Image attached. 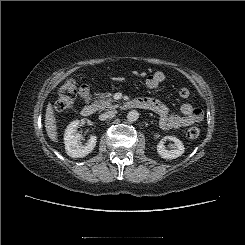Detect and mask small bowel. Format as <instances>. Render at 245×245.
Here are the masks:
<instances>
[{"mask_svg":"<svg viewBox=\"0 0 245 245\" xmlns=\"http://www.w3.org/2000/svg\"><path fill=\"white\" fill-rule=\"evenodd\" d=\"M164 79L165 75L160 71H156L147 77L146 85L150 89H159ZM80 96L86 101L90 100V90L87 86H85L84 89L80 92ZM137 100L143 103L145 109L152 110L159 114V124L163 130L186 127L203 119V110L199 107H194L189 103H184L181 106L182 114L178 115L171 114L168 106L160 100L153 98H140Z\"/></svg>","mask_w":245,"mask_h":245,"instance_id":"obj_1","label":"small bowel"}]
</instances>
